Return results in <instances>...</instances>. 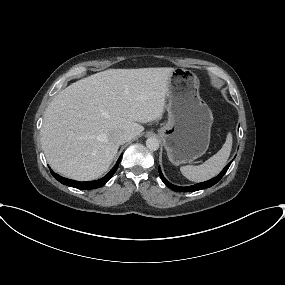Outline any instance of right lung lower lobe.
I'll use <instances>...</instances> for the list:
<instances>
[{"instance_id":"98d812e1","label":"right lung lower lobe","mask_w":285,"mask_h":285,"mask_svg":"<svg viewBox=\"0 0 285 285\" xmlns=\"http://www.w3.org/2000/svg\"><path fill=\"white\" fill-rule=\"evenodd\" d=\"M121 157H122V155L119 157L117 163L112 168V170L105 177H103L99 180H96V181L79 182V181L70 180V179H66L64 177H61L60 175L56 174L53 171H51V173L55 179H57L59 182H61L64 185L71 186V187L78 188V189H83V190H90V189H94V188H98V187L103 186L104 184H106L111 179V177L113 176V174L115 173V171L117 170V168L119 166Z\"/></svg>"}]
</instances>
